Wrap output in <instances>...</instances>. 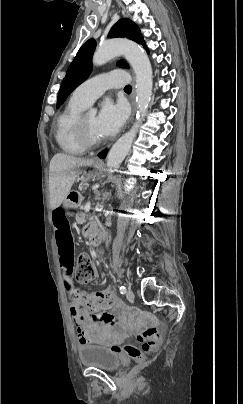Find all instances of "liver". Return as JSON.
I'll use <instances>...</instances> for the list:
<instances>
[{"instance_id":"1","label":"liver","mask_w":243,"mask_h":404,"mask_svg":"<svg viewBox=\"0 0 243 404\" xmlns=\"http://www.w3.org/2000/svg\"><path fill=\"white\" fill-rule=\"evenodd\" d=\"M94 160L75 158L68 154H55L49 166V198L50 208L55 210L61 206L68 196L77 176L81 174L79 168L92 166Z\"/></svg>"}]
</instances>
